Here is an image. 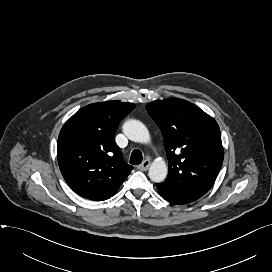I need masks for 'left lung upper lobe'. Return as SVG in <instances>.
<instances>
[{"label":"left lung upper lobe","mask_w":272,"mask_h":272,"mask_svg":"<svg viewBox=\"0 0 272 272\" xmlns=\"http://www.w3.org/2000/svg\"><path fill=\"white\" fill-rule=\"evenodd\" d=\"M146 110L161 129L168 159L167 191L207 192L221 169L224 151L216 121L179 98L156 100Z\"/></svg>","instance_id":"obj_1"}]
</instances>
